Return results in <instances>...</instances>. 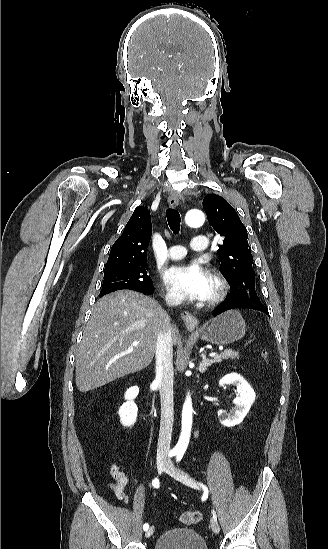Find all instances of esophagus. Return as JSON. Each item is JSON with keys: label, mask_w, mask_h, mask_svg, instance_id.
Instances as JSON below:
<instances>
[{"label": "esophagus", "mask_w": 328, "mask_h": 549, "mask_svg": "<svg viewBox=\"0 0 328 549\" xmlns=\"http://www.w3.org/2000/svg\"><path fill=\"white\" fill-rule=\"evenodd\" d=\"M179 204V198L175 193H171L168 196V205L171 208L177 207ZM181 318L185 322V325L188 330H194L195 327L198 326V319L194 315L190 314L189 312H182Z\"/></svg>", "instance_id": "obj_1"}]
</instances>
